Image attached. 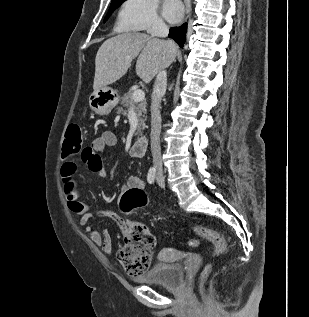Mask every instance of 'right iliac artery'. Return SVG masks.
<instances>
[{
  "instance_id": "right-iliac-artery-1",
  "label": "right iliac artery",
  "mask_w": 309,
  "mask_h": 317,
  "mask_svg": "<svg viewBox=\"0 0 309 317\" xmlns=\"http://www.w3.org/2000/svg\"><path fill=\"white\" fill-rule=\"evenodd\" d=\"M155 175H156V170L154 167H151L149 169L148 175H147V181L152 184L155 181Z\"/></svg>"
}]
</instances>
